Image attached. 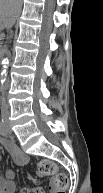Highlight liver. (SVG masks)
<instances>
[{"instance_id":"obj_1","label":"liver","mask_w":103,"mask_h":193,"mask_svg":"<svg viewBox=\"0 0 103 193\" xmlns=\"http://www.w3.org/2000/svg\"><path fill=\"white\" fill-rule=\"evenodd\" d=\"M21 7V0H0V19L4 27H10Z\"/></svg>"}]
</instances>
